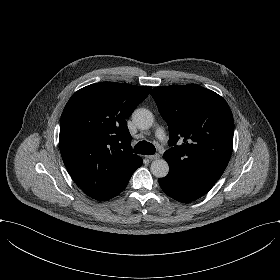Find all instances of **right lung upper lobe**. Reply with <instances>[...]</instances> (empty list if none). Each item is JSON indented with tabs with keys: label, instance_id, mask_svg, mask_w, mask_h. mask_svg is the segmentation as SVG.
<instances>
[{
	"label": "right lung upper lobe",
	"instance_id": "cb5924a9",
	"mask_svg": "<svg viewBox=\"0 0 280 280\" xmlns=\"http://www.w3.org/2000/svg\"><path fill=\"white\" fill-rule=\"evenodd\" d=\"M151 88L101 82L78 90L67 102L60 122V152L73 181L89 197H115L142 165V158L132 153L126 119Z\"/></svg>",
	"mask_w": 280,
	"mask_h": 280
}]
</instances>
